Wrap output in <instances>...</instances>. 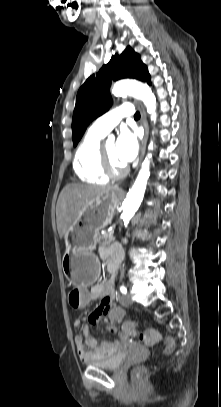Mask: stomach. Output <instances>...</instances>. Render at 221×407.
Listing matches in <instances>:
<instances>
[{"instance_id":"1","label":"stomach","mask_w":221,"mask_h":407,"mask_svg":"<svg viewBox=\"0 0 221 407\" xmlns=\"http://www.w3.org/2000/svg\"><path fill=\"white\" fill-rule=\"evenodd\" d=\"M118 202L119 194L114 189L99 194L65 233L62 268L75 286L78 283L91 285L97 280L100 265L94 249L99 231L111 223Z\"/></svg>"}]
</instances>
